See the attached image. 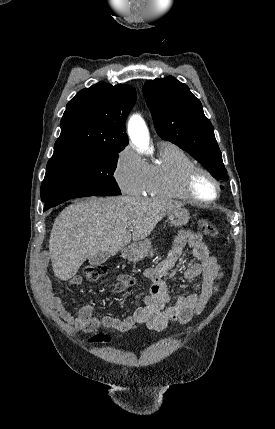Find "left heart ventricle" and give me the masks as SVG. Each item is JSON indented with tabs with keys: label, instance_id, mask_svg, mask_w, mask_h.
Segmentation results:
<instances>
[{
	"label": "left heart ventricle",
	"instance_id": "b2bd125f",
	"mask_svg": "<svg viewBox=\"0 0 275 429\" xmlns=\"http://www.w3.org/2000/svg\"><path fill=\"white\" fill-rule=\"evenodd\" d=\"M194 190L197 196L203 199H211L216 194L213 182L205 175H198L194 182Z\"/></svg>",
	"mask_w": 275,
	"mask_h": 429
}]
</instances>
